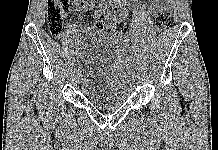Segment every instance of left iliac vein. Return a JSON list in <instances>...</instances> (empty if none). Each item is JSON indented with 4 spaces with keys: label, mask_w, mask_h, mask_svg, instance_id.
<instances>
[{
    "label": "left iliac vein",
    "mask_w": 218,
    "mask_h": 150,
    "mask_svg": "<svg viewBox=\"0 0 218 150\" xmlns=\"http://www.w3.org/2000/svg\"><path fill=\"white\" fill-rule=\"evenodd\" d=\"M130 76L132 77L131 79L134 81L138 75L136 73L135 74L132 73Z\"/></svg>",
    "instance_id": "left-iliac-vein-1"
}]
</instances>
